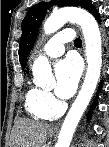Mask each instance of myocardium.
Instances as JSON below:
<instances>
[{"label":"myocardium","mask_w":109,"mask_h":147,"mask_svg":"<svg viewBox=\"0 0 109 147\" xmlns=\"http://www.w3.org/2000/svg\"><path fill=\"white\" fill-rule=\"evenodd\" d=\"M59 114H60V112H58L56 116H58Z\"/></svg>","instance_id":"obj_1"}]
</instances>
